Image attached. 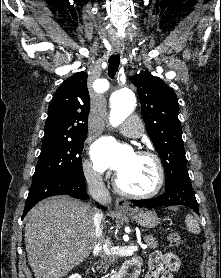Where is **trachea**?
<instances>
[{
	"label": "trachea",
	"mask_w": 221,
	"mask_h": 278,
	"mask_svg": "<svg viewBox=\"0 0 221 278\" xmlns=\"http://www.w3.org/2000/svg\"><path fill=\"white\" fill-rule=\"evenodd\" d=\"M109 65H108V76L110 78H114L116 75V72L118 71L119 68V63H120V56L118 54L112 55L109 58Z\"/></svg>",
	"instance_id": "obj_1"
}]
</instances>
